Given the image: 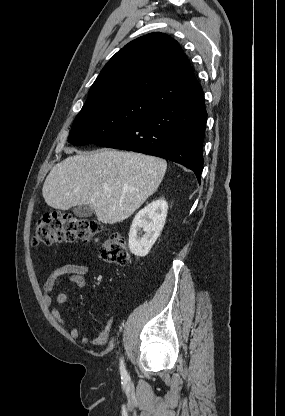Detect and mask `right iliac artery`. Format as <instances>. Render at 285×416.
<instances>
[{"label": "right iliac artery", "mask_w": 285, "mask_h": 416, "mask_svg": "<svg viewBox=\"0 0 285 416\" xmlns=\"http://www.w3.org/2000/svg\"><path fill=\"white\" fill-rule=\"evenodd\" d=\"M120 373H121L122 378H124V379L128 378V374H127V371L125 369L124 362H123L122 359L120 361Z\"/></svg>", "instance_id": "obj_1"}]
</instances>
